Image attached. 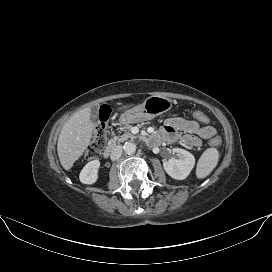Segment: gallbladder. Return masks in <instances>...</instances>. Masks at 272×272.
Here are the masks:
<instances>
[{"label": "gallbladder", "instance_id": "gallbladder-1", "mask_svg": "<svg viewBox=\"0 0 272 272\" xmlns=\"http://www.w3.org/2000/svg\"><path fill=\"white\" fill-rule=\"evenodd\" d=\"M98 114H99V107L98 106L92 107L90 110L91 121L96 122L98 119Z\"/></svg>", "mask_w": 272, "mask_h": 272}]
</instances>
